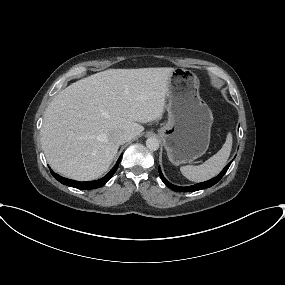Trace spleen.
Here are the masks:
<instances>
[{
    "instance_id": "obj_1",
    "label": "spleen",
    "mask_w": 285,
    "mask_h": 285,
    "mask_svg": "<svg viewBox=\"0 0 285 285\" xmlns=\"http://www.w3.org/2000/svg\"><path fill=\"white\" fill-rule=\"evenodd\" d=\"M232 149V134L229 132L222 148L204 164L182 166L181 173L190 181L203 182L215 177L225 166Z\"/></svg>"
}]
</instances>
